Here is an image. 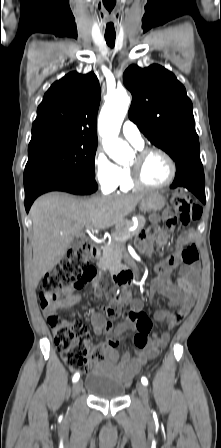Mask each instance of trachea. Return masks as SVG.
Returning <instances> with one entry per match:
<instances>
[{"instance_id": "1", "label": "trachea", "mask_w": 221, "mask_h": 448, "mask_svg": "<svg viewBox=\"0 0 221 448\" xmlns=\"http://www.w3.org/2000/svg\"><path fill=\"white\" fill-rule=\"evenodd\" d=\"M116 36L105 35V40L108 46L114 47Z\"/></svg>"}]
</instances>
